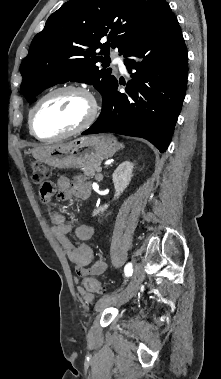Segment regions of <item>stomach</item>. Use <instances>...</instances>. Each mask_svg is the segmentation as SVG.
Returning <instances> with one entry per match:
<instances>
[{
    "label": "stomach",
    "instance_id": "1",
    "mask_svg": "<svg viewBox=\"0 0 221 379\" xmlns=\"http://www.w3.org/2000/svg\"><path fill=\"white\" fill-rule=\"evenodd\" d=\"M116 138L110 134L90 135L69 142H58L36 148L35 159L51 167L81 168L100 164L118 150Z\"/></svg>",
    "mask_w": 221,
    "mask_h": 379
}]
</instances>
